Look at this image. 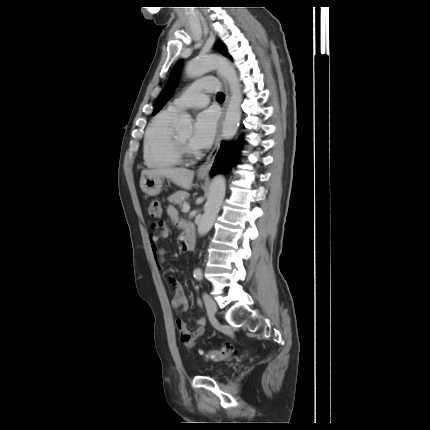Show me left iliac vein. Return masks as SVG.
Masks as SVG:
<instances>
[{
	"instance_id": "left-iliac-vein-1",
	"label": "left iliac vein",
	"mask_w": 430,
	"mask_h": 430,
	"mask_svg": "<svg viewBox=\"0 0 430 430\" xmlns=\"http://www.w3.org/2000/svg\"><path fill=\"white\" fill-rule=\"evenodd\" d=\"M203 298H204L205 306H206V309H207V313L211 317H214V315H215V313L217 311V306H216L215 301L207 293L203 294Z\"/></svg>"
}]
</instances>
